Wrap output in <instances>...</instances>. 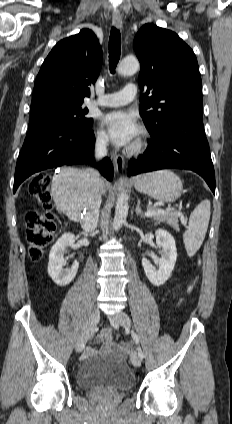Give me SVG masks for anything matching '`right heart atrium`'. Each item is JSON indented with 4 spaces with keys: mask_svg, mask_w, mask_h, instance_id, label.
<instances>
[{
    "mask_svg": "<svg viewBox=\"0 0 232 424\" xmlns=\"http://www.w3.org/2000/svg\"><path fill=\"white\" fill-rule=\"evenodd\" d=\"M95 147L100 151H105L108 147V137L102 129L95 133Z\"/></svg>",
    "mask_w": 232,
    "mask_h": 424,
    "instance_id": "right-heart-atrium-1",
    "label": "right heart atrium"
}]
</instances>
